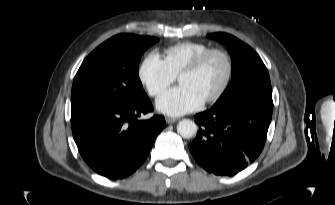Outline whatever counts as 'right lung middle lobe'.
Wrapping results in <instances>:
<instances>
[{"label":"right lung middle lobe","instance_id":"dd1d6c3e","mask_svg":"<svg viewBox=\"0 0 335 205\" xmlns=\"http://www.w3.org/2000/svg\"><path fill=\"white\" fill-rule=\"evenodd\" d=\"M158 38L116 35L98 46L81 64L71 93V109L88 105H129L146 96L138 64Z\"/></svg>","mask_w":335,"mask_h":205}]
</instances>
